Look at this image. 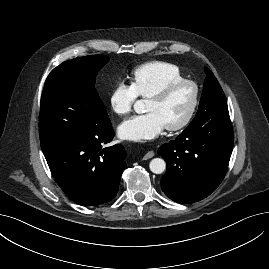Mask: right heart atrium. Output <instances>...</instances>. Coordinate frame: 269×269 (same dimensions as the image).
Listing matches in <instances>:
<instances>
[{
    "label": "right heart atrium",
    "mask_w": 269,
    "mask_h": 269,
    "mask_svg": "<svg viewBox=\"0 0 269 269\" xmlns=\"http://www.w3.org/2000/svg\"><path fill=\"white\" fill-rule=\"evenodd\" d=\"M137 97L138 95L131 84L118 81L109 95L110 108L116 115H126L132 110Z\"/></svg>",
    "instance_id": "d8ad5b80"
}]
</instances>
